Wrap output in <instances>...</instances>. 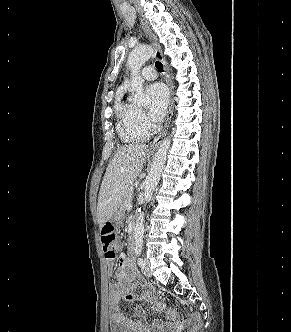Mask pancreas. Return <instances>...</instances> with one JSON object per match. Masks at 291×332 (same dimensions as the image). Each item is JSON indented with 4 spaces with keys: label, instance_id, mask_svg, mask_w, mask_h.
<instances>
[{
    "label": "pancreas",
    "instance_id": "cf45deb5",
    "mask_svg": "<svg viewBox=\"0 0 291 332\" xmlns=\"http://www.w3.org/2000/svg\"><path fill=\"white\" fill-rule=\"evenodd\" d=\"M132 195H133V189L132 188H129L127 191H125L120 199V203H119V206H120V210L121 211H124L126 210V205L128 203H131L132 201Z\"/></svg>",
    "mask_w": 291,
    "mask_h": 332
}]
</instances>
